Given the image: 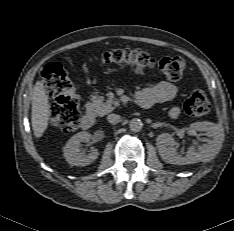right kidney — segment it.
<instances>
[{
	"label": "right kidney",
	"mask_w": 234,
	"mask_h": 231,
	"mask_svg": "<svg viewBox=\"0 0 234 231\" xmlns=\"http://www.w3.org/2000/svg\"><path fill=\"white\" fill-rule=\"evenodd\" d=\"M91 135L82 131L72 136L63 148L66 161L72 166H86L98 158V150L91 148L89 154L81 153L80 143L89 142Z\"/></svg>",
	"instance_id": "obj_1"
}]
</instances>
